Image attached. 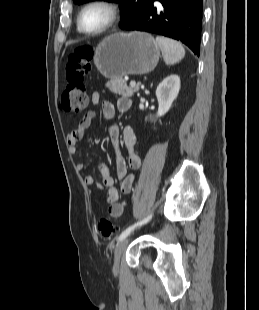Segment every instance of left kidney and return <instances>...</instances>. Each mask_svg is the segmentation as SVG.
Segmentation results:
<instances>
[{"label": "left kidney", "mask_w": 259, "mask_h": 310, "mask_svg": "<svg viewBox=\"0 0 259 310\" xmlns=\"http://www.w3.org/2000/svg\"><path fill=\"white\" fill-rule=\"evenodd\" d=\"M180 90V77L170 75L166 77L156 89L158 100L157 117L165 115L172 106L173 101L177 98Z\"/></svg>", "instance_id": "obj_1"}]
</instances>
